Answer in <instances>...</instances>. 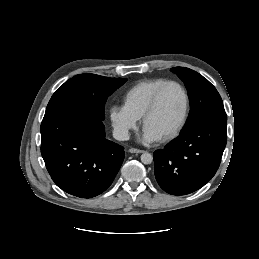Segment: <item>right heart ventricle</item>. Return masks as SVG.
<instances>
[{"label": "right heart ventricle", "instance_id": "right-heart-ventricle-1", "mask_svg": "<svg viewBox=\"0 0 259 259\" xmlns=\"http://www.w3.org/2000/svg\"><path fill=\"white\" fill-rule=\"evenodd\" d=\"M166 81L165 78H152L138 81L123 94V107L140 119L149 106L156 90Z\"/></svg>", "mask_w": 259, "mask_h": 259}]
</instances>
